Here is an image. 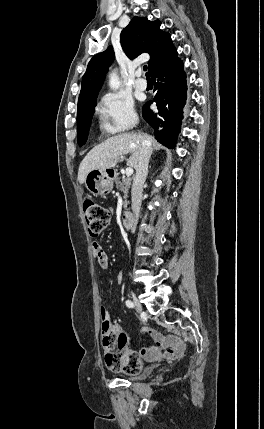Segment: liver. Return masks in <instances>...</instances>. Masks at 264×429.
Masks as SVG:
<instances>
[{"mask_svg":"<svg viewBox=\"0 0 264 429\" xmlns=\"http://www.w3.org/2000/svg\"><path fill=\"white\" fill-rule=\"evenodd\" d=\"M143 142H146L151 147L154 139L147 134L124 133L110 137L95 146L79 166V183L83 184L85 182L86 176L91 170L112 168L118 161L124 160V155L128 153H131V156L127 161V165L136 169Z\"/></svg>","mask_w":264,"mask_h":429,"instance_id":"obj_1","label":"liver"}]
</instances>
